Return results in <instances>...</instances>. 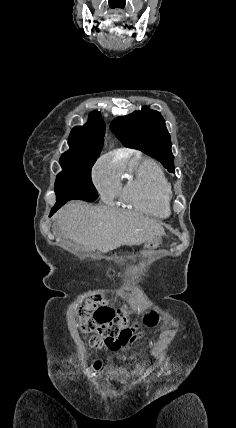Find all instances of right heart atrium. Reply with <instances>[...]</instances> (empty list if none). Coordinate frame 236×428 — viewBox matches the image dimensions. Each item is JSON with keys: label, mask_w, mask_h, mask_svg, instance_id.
<instances>
[{"label": "right heart atrium", "mask_w": 236, "mask_h": 428, "mask_svg": "<svg viewBox=\"0 0 236 428\" xmlns=\"http://www.w3.org/2000/svg\"><path fill=\"white\" fill-rule=\"evenodd\" d=\"M92 181L103 201L110 202L118 196L120 191L119 174L107 160H100L95 164Z\"/></svg>", "instance_id": "d8ad5b80"}]
</instances>
